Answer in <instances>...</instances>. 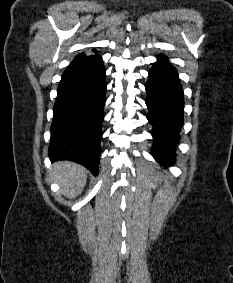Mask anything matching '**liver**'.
<instances>
[{"label": "liver", "mask_w": 233, "mask_h": 283, "mask_svg": "<svg viewBox=\"0 0 233 283\" xmlns=\"http://www.w3.org/2000/svg\"><path fill=\"white\" fill-rule=\"evenodd\" d=\"M51 176L61 186V192L74 198L80 194L86 184L87 171L76 163L59 161L53 164Z\"/></svg>", "instance_id": "6515ba94"}]
</instances>
